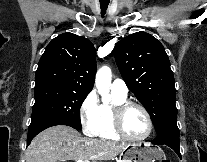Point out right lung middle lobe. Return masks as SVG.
I'll list each match as a JSON object with an SVG mask.
<instances>
[{"instance_id": "1", "label": "right lung middle lobe", "mask_w": 207, "mask_h": 162, "mask_svg": "<svg viewBox=\"0 0 207 162\" xmlns=\"http://www.w3.org/2000/svg\"><path fill=\"white\" fill-rule=\"evenodd\" d=\"M35 104L31 121L41 118H56L81 129L80 107L88 93L61 87L45 86L35 88Z\"/></svg>"}]
</instances>
